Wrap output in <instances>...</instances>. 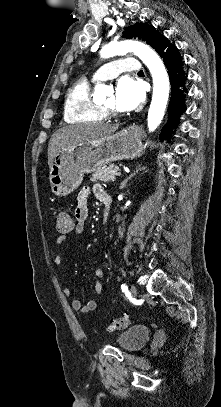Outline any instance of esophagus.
<instances>
[{
    "label": "esophagus",
    "instance_id": "esophagus-1",
    "mask_svg": "<svg viewBox=\"0 0 221 407\" xmlns=\"http://www.w3.org/2000/svg\"><path fill=\"white\" fill-rule=\"evenodd\" d=\"M134 129H135V130H138V128H137V127H135Z\"/></svg>",
    "mask_w": 221,
    "mask_h": 407
}]
</instances>
